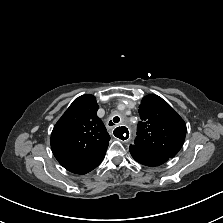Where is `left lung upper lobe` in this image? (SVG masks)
Segmentation results:
<instances>
[{
	"mask_svg": "<svg viewBox=\"0 0 223 223\" xmlns=\"http://www.w3.org/2000/svg\"><path fill=\"white\" fill-rule=\"evenodd\" d=\"M134 145L142 150L173 158L181 149L186 135V124L176 111L161 97L145 96L139 106Z\"/></svg>",
	"mask_w": 223,
	"mask_h": 223,
	"instance_id": "5c2ea615",
	"label": "left lung upper lobe"
}]
</instances>
